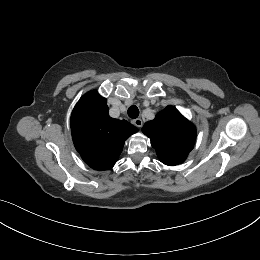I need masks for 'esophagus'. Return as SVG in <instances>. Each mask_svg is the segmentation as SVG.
<instances>
[{"label":"esophagus","instance_id":"obj_1","mask_svg":"<svg viewBox=\"0 0 260 260\" xmlns=\"http://www.w3.org/2000/svg\"><path fill=\"white\" fill-rule=\"evenodd\" d=\"M132 123L138 128H141L143 125V121L140 118L132 120Z\"/></svg>","mask_w":260,"mask_h":260}]
</instances>
